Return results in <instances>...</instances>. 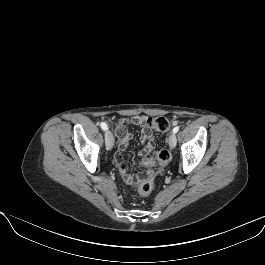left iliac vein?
<instances>
[{
  "instance_id": "4c4485c4",
  "label": "left iliac vein",
  "mask_w": 265,
  "mask_h": 265,
  "mask_svg": "<svg viewBox=\"0 0 265 265\" xmlns=\"http://www.w3.org/2000/svg\"><path fill=\"white\" fill-rule=\"evenodd\" d=\"M177 143V139H176V135L174 133L170 134L169 138H168V144L170 146L171 149L175 148Z\"/></svg>"
}]
</instances>
